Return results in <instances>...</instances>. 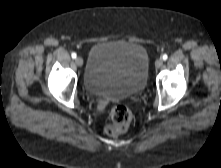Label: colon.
I'll list each match as a JSON object with an SVG mask.
<instances>
[{"instance_id":"1","label":"colon","mask_w":221,"mask_h":168,"mask_svg":"<svg viewBox=\"0 0 221 168\" xmlns=\"http://www.w3.org/2000/svg\"><path fill=\"white\" fill-rule=\"evenodd\" d=\"M100 107L103 108L106 105V101H100ZM112 123L105 127L106 134L114 136L124 131L131 120V112L127 106L118 104L112 107L110 111Z\"/></svg>"}]
</instances>
